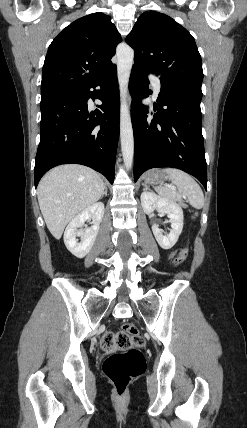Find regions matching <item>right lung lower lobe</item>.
Wrapping results in <instances>:
<instances>
[{"instance_id": "right-lung-lower-lobe-1", "label": "right lung lower lobe", "mask_w": 247, "mask_h": 428, "mask_svg": "<svg viewBox=\"0 0 247 428\" xmlns=\"http://www.w3.org/2000/svg\"><path fill=\"white\" fill-rule=\"evenodd\" d=\"M97 86L101 91H90ZM96 93L103 104L97 105L98 109L89 114L87 101L90 97L97 98ZM40 108L35 186L49 169L68 163L89 166L112 184L119 138L116 65L79 91L41 97Z\"/></svg>"}]
</instances>
